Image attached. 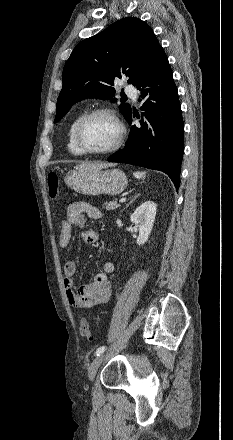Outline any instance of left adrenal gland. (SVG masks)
Wrapping results in <instances>:
<instances>
[{
  "instance_id": "left-adrenal-gland-1",
  "label": "left adrenal gland",
  "mask_w": 233,
  "mask_h": 440,
  "mask_svg": "<svg viewBox=\"0 0 233 440\" xmlns=\"http://www.w3.org/2000/svg\"><path fill=\"white\" fill-rule=\"evenodd\" d=\"M139 196H140V193L136 194V195L131 199V201L126 205L125 208L129 207V205H131V204L135 201V199H137Z\"/></svg>"
}]
</instances>
